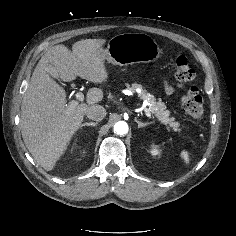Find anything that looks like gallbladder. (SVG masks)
<instances>
[{
    "instance_id": "bac80fb5",
    "label": "gallbladder",
    "mask_w": 236,
    "mask_h": 236,
    "mask_svg": "<svg viewBox=\"0 0 236 236\" xmlns=\"http://www.w3.org/2000/svg\"><path fill=\"white\" fill-rule=\"evenodd\" d=\"M50 74H51L52 77H54V78H58V76L56 75V73H55L54 70L50 71Z\"/></svg>"
}]
</instances>
